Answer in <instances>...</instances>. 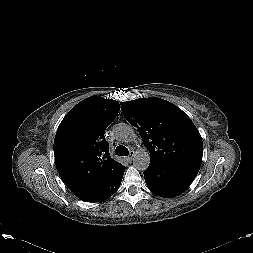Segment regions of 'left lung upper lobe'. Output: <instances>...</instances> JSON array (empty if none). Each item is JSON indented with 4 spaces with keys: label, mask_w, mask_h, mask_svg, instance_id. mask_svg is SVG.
<instances>
[{
    "label": "left lung upper lobe",
    "mask_w": 253,
    "mask_h": 253,
    "mask_svg": "<svg viewBox=\"0 0 253 253\" xmlns=\"http://www.w3.org/2000/svg\"><path fill=\"white\" fill-rule=\"evenodd\" d=\"M126 120L136 127L151 160L201 165L202 138L191 119L174 104L157 98L121 102Z\"/></svg>",
    "instance_id": "obj_1"
}]
</instances>
